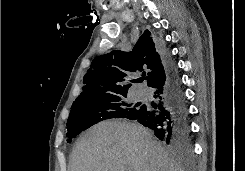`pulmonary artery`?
I'll return each instance as SVG.
<instances>
[{"label":"pulmonary artery","mask_w":245,"mask_h":171,"mask_svg":"<svg viewBox=\"0 0 245 171\" xmlns=\"http://www.w3.org/2000/svg\"><path fill=\"white\" fill-rule=\"evenodd\" d=\"M137 92L139 97H144L147 95V91L144 88H139Z\"/></svg>","instance_id":"pulmonary-artery-1"}]
</instances>
